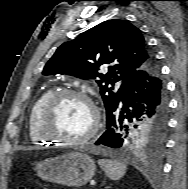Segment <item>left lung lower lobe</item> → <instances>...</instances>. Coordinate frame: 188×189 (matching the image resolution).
I'll use <instances>...</instances> for the list:
<instances>
[{
    "label": "left lung lower lobe",
    "instance_id": "1",
    "mask_svg": "<svg viewBox=\"0 0 188 189\" xmlns=\"http://www.w3.org/2000/svg\"><path fill=\"white\" fill-rule=\"evenodd\" d=\"M168 98L155 59L134 73L125 84L118 108L107 118V130L95 142L111 148L126 147L131 130L151 124L167 126Z\"/></svg>",
    "mask_w": 188,
    "mask_h": 189
}]
</instances>
